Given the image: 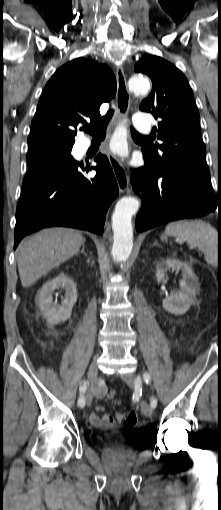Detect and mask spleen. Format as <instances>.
Masks as SVG:
<instances>
[{
    "label": "spleen",
    "instance_id": "spleen-1",
    "mask_svg": "<svg viewBox=\"0 0 221 510\" xmlns=\"http://www.w3.org/2000/svg\"><path fill=\"white\" fill-rule=\"evenodd\" d=\"M165 233L185 240L191 247H197L204 253L208 263H216L217 232L209 223L202 220L175 221L166 226Z\"/></svg>",
    "mask_w": 221,
    "mask_h": 510
}]
</instances>
